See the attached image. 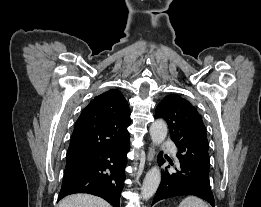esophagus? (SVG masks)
Segmentation results:
<instances>
[{
  "instance_id": "obj_1",
  "label": "esophagus",
  "mask_w": 261,
  "mask_h": 207,
  "mask_svg": "<svg viewBox=\"0 0 261 207\" xmlns=\"http://www.w3.org/2000/svg\"><path fill=\"white\" fill-rule=\"evenodd\" d=\"M154 155H155V149L153 145L149 146L148 149V155H147V163L150 165L152 161L154 160Z\"/></svg>"
}]
</instances>
